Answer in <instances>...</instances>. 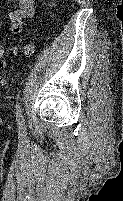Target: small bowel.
Segmentation results:
<instances>
[{
  "mask_svg": "<svg viewBox=\"0 0 123 201\" xmlns=\"http://www.w3.org/2000/svg\"><path fill=\"white\" fill-rule=\"evenodd\" d=\"M17 3L15 10L7 15V22L11 33L18 34L22 30V22L24 19L33 17L35 13L34 0H13Z\"/></svg>",
  "mask_w": 123,
  "mask_h": 201,
  "instance_id": "c3829d8e",
  "label": "small bowel"
}]
</instances>
